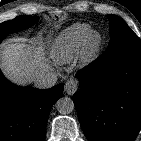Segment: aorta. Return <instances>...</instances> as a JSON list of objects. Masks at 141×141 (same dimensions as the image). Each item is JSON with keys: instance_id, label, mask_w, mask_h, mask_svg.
<instances>
[{"instance_id": "1", "label": "aorta", "mask_w": 141, "mask_h": 141, "mask_svg": "<svg viewBox=\"0 0 141 141\" xmlns=\"http://www.w3.org/2000/svg\"><path fill=\"white\" fill-rule=\"evenodd\" d=\"M57 111L61 114H69L71 113L75 106L74 102L69 97H62L56 103Z\"/></svg>"}]
</instances>
